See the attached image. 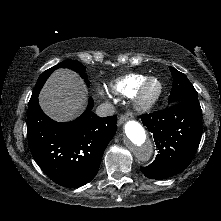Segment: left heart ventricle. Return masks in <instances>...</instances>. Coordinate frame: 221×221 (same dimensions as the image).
Returning <instances> with one entry per match:
<instances>
[{
  "label": "left heart ventricle",
  "mask_w": 221,
  "mask_h": 221,
  "mask_svg": "<svg viewBox=\"0 0 221 221\" xmlns=\"http://www.w3.org/2000/svg\"><path fill=\"white\" fill-rule=\"evenodd\" d=\"M156 90H157V84L156 83H152L149 86L148 93L151 95V94L155 93Z\"/></svg>",
  "instance_id": "left-heart-ventricle-1"
}]
</instances>
